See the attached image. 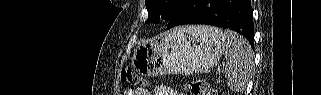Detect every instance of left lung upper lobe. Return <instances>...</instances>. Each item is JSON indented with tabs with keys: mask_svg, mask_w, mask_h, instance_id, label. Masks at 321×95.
<instances>
[{
	"mask_svg": "<svg viewBox=\"0 0 321 95\" xmlns=\"http://www.w3.org/2000/svg\"><path fill=\"white\" fill-rule=\"evenodd\" d=\"M183 0H145L148 11L146 23H156L160 18L169 20Z\"/></svg>",
	"mask_w": 321,
	"mask_h": 95,
	"instance_id": "obj_1",
	"label": "left lung upper lobe"
}]
</instances>
